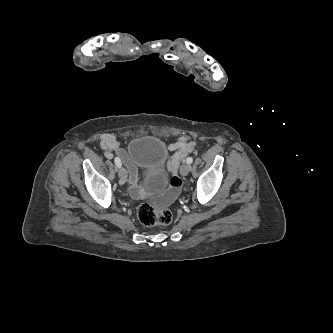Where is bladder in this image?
<instances>
[{
    "instance_id": "31cf9c89",
    "label": "bladder",
    "mask_w": 333,
    "mask_h": 333,
    "mask_svg": "<svg viewBox=\"0 0 333 333\" xmlns=\"http://www.w3.org/2000/svg\"><path fill=\"white\" fill-rule=\"evenodd\" d=\"M127 155L136 165L150 171V189L160 191L166 187L168 176L162 167L167 157V148L160 138L153 135L134 137L128 144Z\"/></svg>"
}]
</instances>
